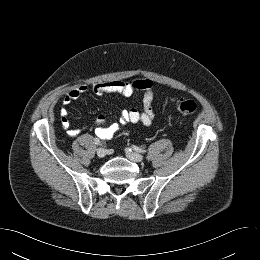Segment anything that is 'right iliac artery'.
Returning a JSON list of instances; mask_svg holds the SVG:
<instances>
[{
	"label": "right iliac artery",
	"mask_w": 260,
	"mask_h": 260,
	"mask_svg": "<svg viewBox=\"0 0 260 260\" xmlns=\"http://www.w3.org/2000/svg\"><path fill=\"white\" fill-rule=\"evenodd\" d=\"M94 142H95L96 145H100V143H101L98 138H95V139H94Z\"/></svg>",
	"instance_id": "obj_1"
}]
</instances>
